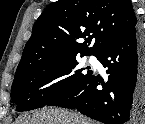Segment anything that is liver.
Returning a JSON list of instances; mask_svg holds the SVG:
<instances>
[{
	"mask_svg": "<svg viewBox=\"0 0 145 124\" xmlns=\"http://www.w3.org/2000/svg\"><path fill=\"white\" fill-rule=\"evenodd\" d=\"M15 124H93L82 115L62 109H45L20 117Z\"/></svg>",
	"mask_w": 145,
	"mask_h": 124,
	"instance_id": "obj_1",
	"label": "liver"
}]
</instances>
